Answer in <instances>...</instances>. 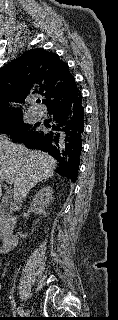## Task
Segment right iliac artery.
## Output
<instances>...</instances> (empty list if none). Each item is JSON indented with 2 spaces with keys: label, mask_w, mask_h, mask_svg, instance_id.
Masks as SVG:
<instances>
[{
  "label": "right iliac artery",
  "mask_w": 118,
  "mask_h": 320,
  "mask_svg": "<svg viewBox=\"0 0 118 320\" xmlns=\"http://www.w3.org/2000/svg\"><path fill=\"white\" fill-rule=\"evenodd\" d=\"M17 311H18V313H19L20 315H26V313L24 312L23 308H21V307H18V308H17Z\"/></svg>",
  "instance_id": "right-iliac-artery-1"
}]
</instances>
